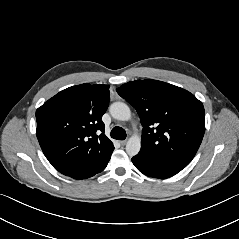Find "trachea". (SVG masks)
<instances>
[{
	"instance_id": "3493384b",
	"label": "trachea",
	"mask_w": 239,
	"mask_h": 239,
	"mask_svg": "<svg viewBox=\"0 0 239 239\" xmlns=\"http://www.w3.org/2000/svg\"><path fill=\"white\" fill-rule=\"evenodd\" d=\"M111 137L117 140H124L126 138V131L119 126H116L111 130Z\"/></svg>"
}]
</instances>
